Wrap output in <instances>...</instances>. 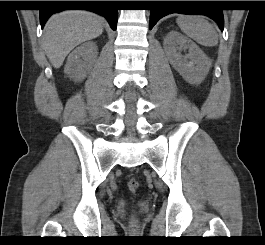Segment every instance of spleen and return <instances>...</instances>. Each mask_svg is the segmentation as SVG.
<instances>
[{
    "label": "spleen",
    "instance_id": "3e777b00",
    "mask_svg": "<svg viewBox=\"0 0 265 245\" xmlns=\"http://www.w3.org/2000/svg\"><path fill=\"white\" fill-rule=\"evenodd\" d=\"M178 26L188 37L203 46H216L218 35L207 20L201 16L180 15L176 20Z\"/></svg>",
    "mask_w": 265,
    "mask_h": 245
}]
</instances>
